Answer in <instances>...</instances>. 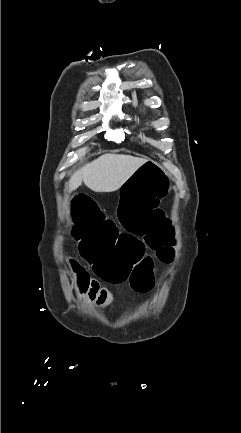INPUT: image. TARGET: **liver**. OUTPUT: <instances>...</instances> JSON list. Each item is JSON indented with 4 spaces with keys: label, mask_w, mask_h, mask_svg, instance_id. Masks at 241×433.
<instances>
[{
    "label": "liver",
    "mask_w": 241,
    "mask_h": 433,
    "mask_svg": "<svg viewBox=\"0 0 241 433\" xmlns=\"http://www.w3.org/2000/svg\"><path fill=\"white\" fill-rule=\"evenodd\" d=\"M147 159L130 155L105 154L77 170L67 183V190H76L82 182L94 192L119 189Z\"/></svg>",
    "instance_id": "obj_1"
}]
</instances>
